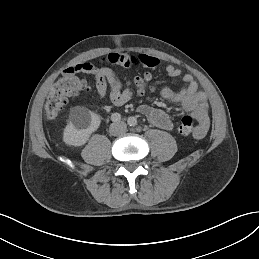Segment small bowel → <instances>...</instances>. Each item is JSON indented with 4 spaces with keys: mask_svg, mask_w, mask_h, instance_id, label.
<instances>
[{
    "mask_svg": "<svg viewBox=\"0 0 259 259\" xmlns=\"http://www.w3.org/2000/svg\"><path fill=\"white\" fill-rule=\"evenodd\" d=\"M104 61L122 67L142 65L147 68H156L159 65L157 58L138 53H111ZM165 70L172 78L181 75V70L173 65H167ZM78 72L92 76L95 80L98 94L101 97H108L117 106L126 104L133 96L132 90L130 88H123L119 77L109 67L85 62L73 65L65 71V73L74 74ZM182 81L184 87L179 91L164 87L160 94L162 98L180 105L192 118L198 121L197 131L194 136L196 138H202L206 135L210 126L207 95L198 89L196 81L190 74H185L182 77ZM138 112L144 115L154 126L164 130H171L173 128V122L163 109L144 104L138 107Z\"/></svg>",
    "mask_w": 259,
    "mask_h": 259,
    "instance_id": "c3829d8e",
    "label": "small bowel"
}]
</instances>
